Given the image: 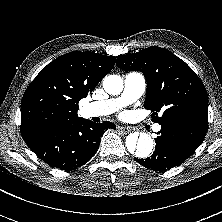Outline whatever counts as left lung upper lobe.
<instances>
[{
    "instance_id": "1",
    "label": "left lung upper lobe",
    "mask_w": 222,
    "mask_h": 222,
    "mask_svg": "<svg viewBox=\"0 0 222 222\" xmlns=\"http://www.w3.org/2000/svg\"><path fill=\"white\" fill-rule=\"evenodd\" d=\"M117 66L125 71H140L147 81L144 106L153 121L163 123L189 119L208 123V96L196 73L180 58L160 47L118 55ZM162 111L161 117L157 113Z\"/></svg>"
}]
</instances>
